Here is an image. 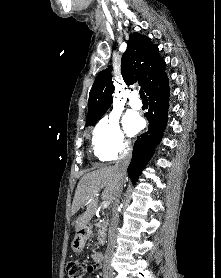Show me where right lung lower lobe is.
<instances>
[{
    "instance_id": "obj_1",
    "label": "right lung lower lobe",
    "mask_w": 221,
    "mask_h": 278,
    "mask_svg": "<svg viewBox=\"0 0 221 278\" xmlns=\"http://www.w3.org/2000/svg\"><path fill=\"white\" fill-rule=\"evenodd\" d=\"M149 99L148 130L140 135L133 147V155L128 167V175L133 184L154 154L156 145L160 142L166 128L169 108V81L166 73L159 77L146 89Z\"/></svg>"
}]
</instances>
